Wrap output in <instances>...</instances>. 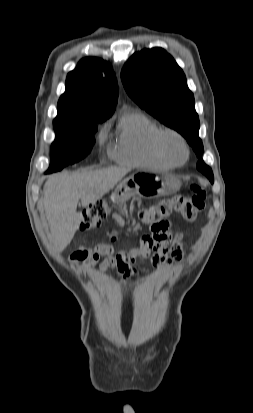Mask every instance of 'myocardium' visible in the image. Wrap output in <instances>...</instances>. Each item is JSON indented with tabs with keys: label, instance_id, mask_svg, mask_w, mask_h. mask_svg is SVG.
<instances>
[{
	"label": "myocardium",
	"instance_id": "f54148a6",
	"mask_svg": "<svg viewBox=\"0 0 253 413\" xmlns=\"http://www.w3.org/2000/svg\"><path fill=\"white\" fill-rule=\"evenodd\" d=\"M170 139H175L177 140L181 146L183 147L184 153H185V157L182 161H176L168 148V142ZM156 144H157V149L159 151V153L161 154V156L167 160L172 166H183L189 159L190 156V149H189V145L186 141V139L177 131L173 130V129H162L159 131L158 135H157V140H156Z\"/></svg>",
	"mask_w": 253,
	"mask_h": 413
}]
</instances>
